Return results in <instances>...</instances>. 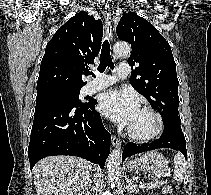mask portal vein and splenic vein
Wrapping results in <instances>:
<instances>
[{
  "label": "portal vein and splenic vein",
  "instance_id": "obj_1",
  "mask_svg": "<svg viewBox=\"0 0 211 195\" xmlns=\"http://www.w3.org/2000/svg\"><path fill=\"white\" fill-rule=\"evenodd\" d=\"M139 187H140V188H146V187L148 188V187H150V186H149V184L141 183V184L139 185Z\"/></svg>",
  "mask_w": 211,
  "mask_h": 195
}]
</instances>
